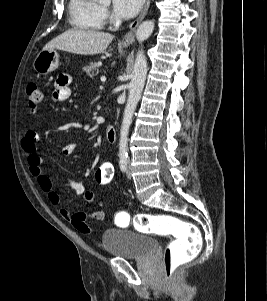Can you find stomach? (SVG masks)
Masks as SVG:
<instances>
[{
	"instance_id": "0dacf381",
	"label": "stomach",
	"mask_w": 267,
	"mask_h": 301,
	"mask_svg": "<svg viewBox=\"0 0 267 301\" xmlns=\"http://www.w3.org/2000/svg\"><path fill=\"white\" fill-rule=\"evenodd\" d=\"M59 64V55L55 49L41 51L34 60L33 67L41 75H47L56 70Z\"/></svg>"
}]
</instances>
